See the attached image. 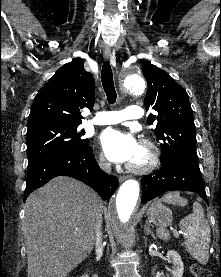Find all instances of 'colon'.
<instances>
[{
	"label": "colon",
	"mask_w": 221,
	"mask_h": 277,
	"mask_svg": "<svg viewBox=\"0 0 221 277\" xmlns=\"http://www.w3.org/2000/svg\"><path fill=\"white\" fill-rule=\"evenodd\" d=\"M191 270L195 277H211L209 271L199 265H193Z\"/></svg>",
	"instance_id": "colon-1"
}]
</instances>
